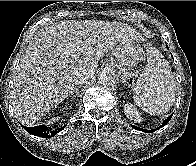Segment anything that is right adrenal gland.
<instances>
[{
	"instance_id": "2a0ac1e0",
	"label": "right adrenal gland",
	"mask_w": 196,
	"mask_h": 166,
	"mask_svg": "<svg viewBox=\"0 0 196 166\" xmlns=\"http://www.w3.org/2000/svg\"><path fill=\"white\" fill-rule=\"evenodd\" d=\"M81 88V85L80 86H76L75 88H74V90L71 92V94L69 95V98H71L72 99V97H73V95L74 96H78L79 95V89Z\"/></svg>"
}]
</instances>
